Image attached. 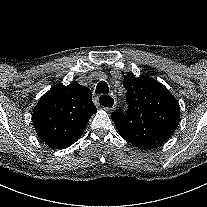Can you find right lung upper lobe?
<instances>
[{
    "label": "right lung upper lobe",
    "mask_w": 207,
    "mask_h": 207,
    "mask_svg": "<svg viewBox=\"0 0 207 207\" xmlns=\"http://www.w3.org/2000/svg\"><path fill=\"white\" fill-rule=\"evenodd\" d=\"M97 111L91 91L79 83L57 84L36 105L32 120L39 137L52 148H66L82 135Z\"/></svg>",
    "instance_id": "1"
}]
</instances>
